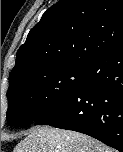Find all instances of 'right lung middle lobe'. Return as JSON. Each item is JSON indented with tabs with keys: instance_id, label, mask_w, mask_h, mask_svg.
<instances>
[{
	"instance_id": "1",
	"label": "right lung middle lobe",
	"mask_w": 123,
	"mask_h": 152,
	"mask_svg": "<svg viewBox=\"0 0 123 152\" xmlns=\"http://www.w3.org/2000/svg\"><path fill=\"white\" fill-rule=\"evenodd\" d=\"M83 69L60 67L24 76L9 87L7 121L27 127L63 104L80 86Z\"/></svg>"
}]
</instances>
